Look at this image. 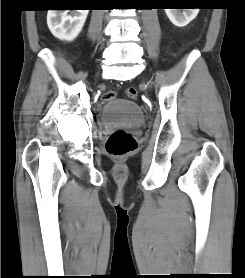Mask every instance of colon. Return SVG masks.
<instances>
[{
    "instance_id": "colon-1",
    "label": "colon",
    "mask_w": 245,
    "mask_h": 278,
    "mask_svg": "<svg viewBox=\"0 0 245 278\" xmlns=\"http://www.w3.org/2000/svg\"><path fill=\"white\" fill-rule=\"evenodd\" d=\"M127 95L134 99L137 91L134 87L126 90ZM104 99L109 101L115 98L114 92L107 91L104 93ZM137 148L136 140L124 129L115 130L106 142V151L113 159L120 160L131 155Z\"/></svg>"
}]
</instances>
